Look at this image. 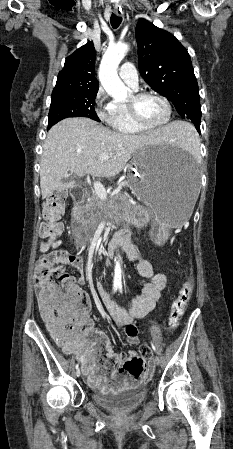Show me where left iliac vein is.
Returning a JSON list of instances; mask_svg holds the SVG:
<instances>
[{
  "label": "left iliac vein",
  "mask_w": 233,
  "mask_h": 449,
  "mask_svg": "<svg viewBox=\"0 0 233 449\" xmlns=\"http://www.w3.org/2000/svg\"><path fill=\"white\" fill-rule=\"evenodd\" d=\"M153 362H154L155 365H159V364H160V359H159V357H158V356H155L154 359H153Z\"/></svg>",
  "instance_id": "1"
}]
</instances>
